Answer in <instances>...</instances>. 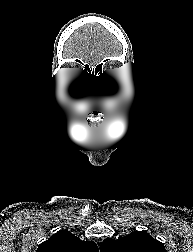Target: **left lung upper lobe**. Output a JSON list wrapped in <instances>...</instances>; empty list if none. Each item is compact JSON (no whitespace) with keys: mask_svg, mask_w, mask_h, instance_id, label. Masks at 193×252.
Returning <instances> with one entry per match:
<instances>
[{"mask_svg":"<svg viewBox=\"0 0 193 252\" xmlns=\"http://www.w3.org/2000/svg\"><path fill=\"white\" fill-rule=\"evenodd\" d=\"M100 252H167L164 244L146 231H137L117 240L105 239Z\"/></svg>","mask_w":193,"mask_h":252,"instance_id":"left-lung-upper-lobe-1","label":"left lung upper lobe"}]
</instances>
